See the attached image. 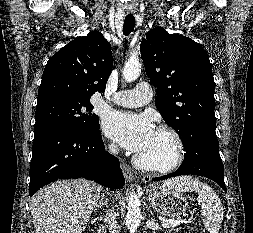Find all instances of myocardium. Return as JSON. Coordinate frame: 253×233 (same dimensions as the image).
<instances>
[{
    "mask_svg": "<svg viewBox=\"0 0 253 233\" xmlns=\"http://www.w3.org/2000/svg\"><path fill=\"white\" fill-rule=\"evenodd\" d=\"M156 131L167 135L172 140L175 150L173 157L168 162L158 163L145 160L137 155L134 162L135 165L141 169L158 173H167L182 164L186 155V147L181 135L173 127L169 125H160L156 128Z\"/></svg>",
    "mask_w": 253,
    "mask_h": 233,
    "instance_id": "f54148a6",
    "label": "myocardium"
}]
</instances>
